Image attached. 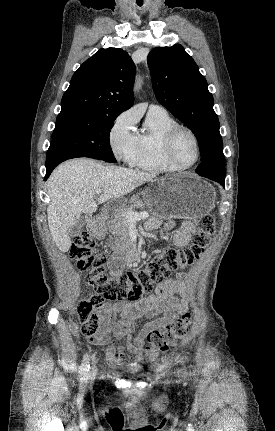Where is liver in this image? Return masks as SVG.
<instances>
[{
	"mask_svg": "<svg viewBox=\"0 0 275 431\" xmlns=\"http://www.w3.org/2000/svg\"><path fill=\"white\" fill-rule=\"evenodd\" d=\"M150 173L103 165L92 159L79 158L60 164L48 183L50 204L47 208L48 226L56 246L63 253L71 247L69 231L81 218V213L97 210L95 192L101 190L98 204L121 198L135 188L151 181Z\"/></svg>",
	"mask_w": 275,
	"mask_h": 431,
	"instance_id": "liver-1",
	"label": "liver"
}]
</instances>
